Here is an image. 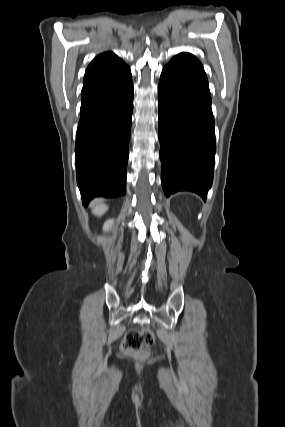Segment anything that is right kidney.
Returning a JSON list of instances; mask_svg holds the SVG:
<instances>
[{"label": "right kidney", "instance_id": "right-kidney-1", "mask_svg": "<svg viewBox=\"0 0 285 427\" xmlns=\"http://www.w3.org/2000/svg\"><path fill=\"white\" fill-rule=\"evenodd\" d=\"M113 225V220H107L104 223L103 230H109Z\"/></svg>", "mask_w": 285, "mask_h": 427}]
</instances>
